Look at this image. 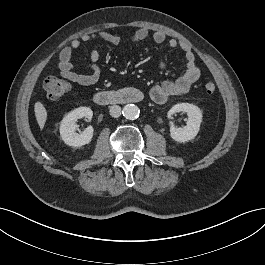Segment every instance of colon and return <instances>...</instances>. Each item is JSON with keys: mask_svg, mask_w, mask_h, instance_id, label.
Instances as JSON below:
<instances>
[{"mask_svg": "<svg viewBox=\"0 0 265 265\" xmlns=\"http://www.w3.org/2000/svg\"><path fill=\"white\" fill-rule=\"evenodd\" d=\"M43 86L47 97L52 101L60 100L69 90V85L65 81L53 76L46 78ZM203 90L206 94L211 95L216 90L215 84L212 81H207L203 85Z\"/></svg>", "mask_w": 265, "mask_h": 265, "instance_id": "5ec220e1", "label": "colon"}]
</instances>
